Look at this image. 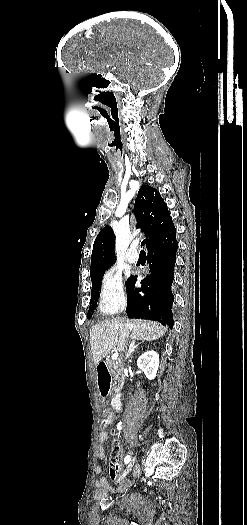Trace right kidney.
I'll return each mask as SVG.
<instances>
[{"label": "right kidney", "mask_w": 247, "mask_h": 525, "mask_svg": "<svg viewBox=\"0 0 247 525\" xmlns=\"http://www.w3.org/2000/svg\"><path fill=\"white\" fill-rule=\"evenodd\" d=\"M137 367L145 373L149 381H152V379L157 377L159 367L158 353H156V351H147V353H143V355L137 359Z\"/></svg>", "instance_id": "right-kidney-1"}]
</instances>
